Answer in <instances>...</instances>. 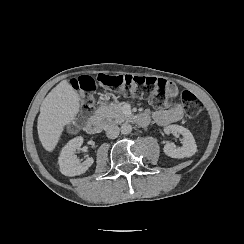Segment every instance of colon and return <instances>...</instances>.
<instances>
[{"label": "colon", "mask_w": 244, "mask_h": 244, "mask_svg": "<svg viewBox=\"0 0 244 244\" xmlns=\"http://www.w3.org/2000/svg\"><path fill=\"white\" fill-rule=\"evenodd\" d=\"M97 81L102 87L114 88L116 95L131 96L134 98H151L157 106L171 105V97L167 91L165 80L156 77L138 75H116L101 73L97 76ZM70 86L74 90H81L84 94V101L76 118L70 119L64 125V130L68 134H74L82 129L83 123L89 121L93 111L95 100L96 82L90 75L74 77L70 81ZM181 100L184 112L187 117H197L203 108L202 101L189 89H184L181 93Z\"/></svg>", "instance_id": "1"}]
</instances>
